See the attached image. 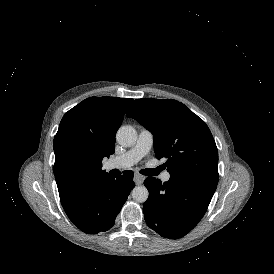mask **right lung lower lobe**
I'll return each instance as SVG.
<instances>
[{"mask_svg": "<svg viewBox=\"0 0 274 274\" xmlns=\"http://www.w3.org/2000/svg\"><path fill=\"white\" fill-rule=\"evenodd\" d=\"M133 172L123 176L106 173L86 188L61 202L70 220L83 232L97 234L109 230L135 187Z\"/></svg>", "mask_w": 274, "mask_h": 274, "instance_id": "98d812e1", "label": "right lung lower lobe"}]
</instances>
